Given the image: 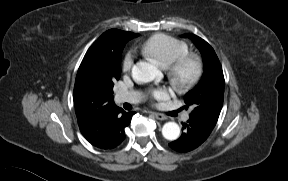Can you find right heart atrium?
Returning a JSON list of instances; mask_svg holds the SVG:
<instances>
[{"instance_id":"d8ad5b80","label":"right heart atrium","mask_w":288,"mask_h":181,"mask_svg":"<svg viewBox=\"0 0 288 181\" xmlns=\"http://www.w3.org/2000/svg\"><path fill=\"white\" fill-rule=\"evenodd\" d=\"M134 55L131 51L127 52L123 58L122 69L124 72H129L133 66Z\"/></svg>"}]
</instances>
